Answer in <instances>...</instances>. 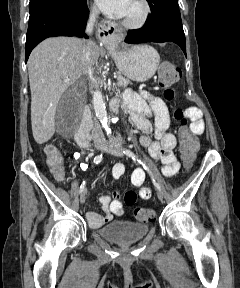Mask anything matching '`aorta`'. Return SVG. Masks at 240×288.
Segmentation results:
<instances>
[{
	"instance_id": "762f6f07",
	"label": "aorta",
	"mask_w": 240,
	"mask_h": 288,
	"mask_svg": "<svg viewBox=\"0 0 240 288\" xmlns=\"http://www.w3.org/2000/svg\"><path fill=\"white\" fill-rule=\"evenodd\" d=\"M93 106L95 110L96 117L104 126L106 129L107 133H110V128L108 126V115L105 107V103L103 101L102 94L99 90H96L93 94Z\"/></svg>"
}]
</instances>
